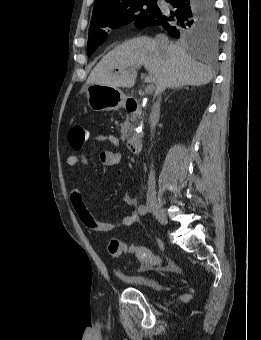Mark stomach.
I'll return each mask as SVG.
<instances>
[{
	"label": "stomach",
	"instance_id": "1",
	"mask_svg": "<svg viewBox=\"0 0 261 340\" xmlns=\"http://www.w3.org/2000/svg\"><path fill=\"white\" fill-rule=\"evenodd\" d=\"M88 106L93 111H114L121 108L126 100L118 87L91 84L86 86Z\"/></svg>",
	"mask_w": 261,
	"mask_h": 340
}]
</instances>
